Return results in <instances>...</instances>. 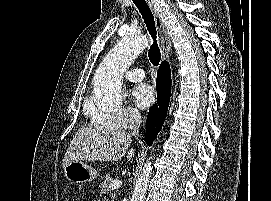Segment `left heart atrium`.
<instances>
[{"instance_id": "obj_1", "label": "left heart atrium", "mask_w": 271, "mask_h": 201, "mask_svg": "<svg viewBox=\"0 0 271 201\" xmlns=\"http://www.w3.org/2000/svg\"><path fill=\"white\" fill-rule=\"evenodd\" d=\"M132 100L140 108L145 109L155 101V92L148 84H139L132 89Z\"/></svg>"}]
</instances>
